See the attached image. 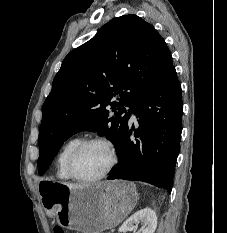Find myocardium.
Here are the masks:
<instances>
[{
    "label": "myocardium",
    "mask_w": 227,
    "mask_h": 233,
    "mask_svg": "<svg viewBox=\"0 0 227 233\" xmlns=\"http://www.w3.org/2000/svg\"><path fill=\"white\" fill-rule=\"evenodd\" d=\"M90 144H101L103 145L108 153H109V164L106 167V169L95 176H91V177H82L79 176L75 173L74 171V159L77 155V153L85 146L90 145ZM117 163V154H116V150L114 145L107 139L105 138H101V137H91V138H86L83 140H80L73 148L72 150L69 152L68 157H67V161H66V167H67V171L69 176L71 177V179L79 181V182H94V181H98L101 180L103 178H105L106 176H108L110 174V172L113 170V168L115 167Z\"/></svg>",
    "instance_id": "1"
}]
</instances>
